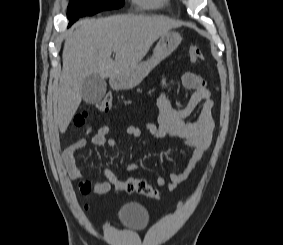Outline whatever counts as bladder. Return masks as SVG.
<instances>
[{"instance_id": "1", "label": "bladder", "mask_w": 283, "mask_h": 245, "mask_svg": "<svg viewBox=\"0 0 283 245\" xmlns=\"http://www.w3.org/2000/svg\"><path fill=\"white\" fill-rule=\"evenodd\" d=\"M118 218L125 227L139 230L147 225L149 213L143 205L137 202H128L118 210Z\"/></svg>"}]
</instances>
